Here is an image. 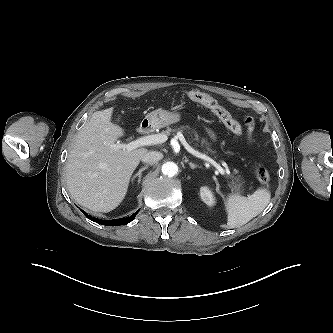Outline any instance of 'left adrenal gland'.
<instances>
[{"instance_id":"1","label":"left adrenal gland","mask_w":333,"mask_h":333,"mask_svg":"<svg viewBox=\"0 0 333 333\" xmlns=\"http://www.w3.org/2000/svg\"><path fill=\"white\" fill-rule=\"evenodd\" d=\"M189 165H190V168L193 169V170H194L195 168H200L199 165L194 164V163H192V162H189Z\"/></svg>"}]
</instances>
